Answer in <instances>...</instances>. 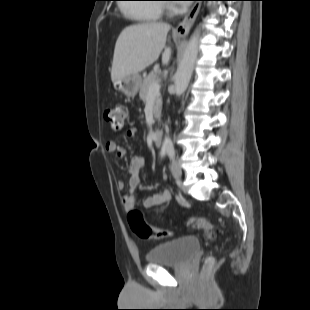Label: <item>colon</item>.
Listing matches in <instances>:
<instances>
[{
  "instance_id": "1",
  "label": "colon",
  "mask_w": 310,
  "mask_h": 310,
  "mask_svg": "<svg viewBox=\"0 0 310 310\" xmlns=\"http://www.w3.org/2000/svg\"><path fill=\"white\" fill-rule=\"evenodd\" d=\"M126 116V107L122 104L106 108L104 118L108 124L115 130H119L123 126ZM128 222L132 231L142 239H165L172 235L169 230H159L150 228L144 221L140 211L133 209L128 213ZM187 223L202 229L205 232L206 238L213 240L216 237V232L213 225L204 218H189ZM214 264V259L210 256L205 261V270L209 271Z\"/></svg>"
}]
</instances>
